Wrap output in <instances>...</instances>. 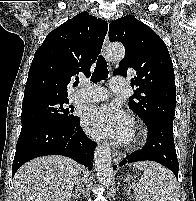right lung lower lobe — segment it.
<instances>
[{
  "mask_svg": "<svg viewBox=\"0 0 196 201\" xmlns=\"http://www.w3.org/2000/svg\"><path fill=\"white\" fill-rule=\"evenodd\" d=\"M96 143L80 126V119L69 125L32 120L22 123L12 166V177L25 162L45 155H63L92 168Z\"/></svg>",
  "mask_w": 196,
  "mask_h": 201,
  "instance_id": "1",
  "label": "right lung lower lobe"
}]
</instances>
